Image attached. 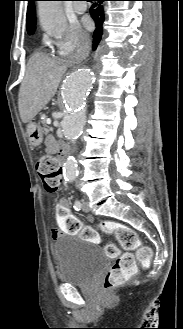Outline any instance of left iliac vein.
<instances>
[{
	"mask_svg": "<svg viewBox=\"0 0 183 329\" xmlns=\"http://www.w3.org/2000/svg\"><path fill=\"white\" fill-rule=\"evenodd\" d=\"M82 210H83L84 212H89V211H90L89 204H88V202L85 201V200H83V202H82Z\"/></svg>",
	"mask_w": 183,
	"mask_h": 329,
	"instance_id": "1",
	"label": "left iliac vein"
}]
</instances>
